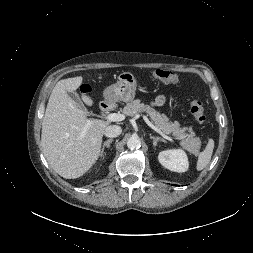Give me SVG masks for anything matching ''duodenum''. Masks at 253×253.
I'll return each mask as SVG.
<instances>
[{"label": "duodenum", "instance_id": "obj_1", "mask_svg": "<svg viewBox=\"0 0 253 253\" xmlns=\"http://www.w3.org/2000/svg\"><path fill=\"white\" fill-rule=\"evenodd\" d=\"M110 108V104L108 102H102L101 103V109L103 111H107Z\"/></svg>", "mask_w": 253, "mask_h": 253}]
</instances>
